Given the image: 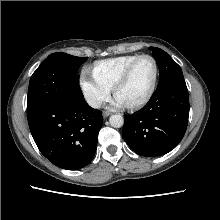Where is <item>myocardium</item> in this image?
I'll return each instance as SVG.
<instances>
[{
  "label": "myocardium",
  "mask_w": 220,
  "mask_h": 220,
  "mask_svg": "<svg viewBox=\"0 0 220 220\" xmlns=\"http://www.w3.org/2000/svg\"><path fill=\"white\" fill-rule=\"evenodd\" d=\"M144 58H148L150 59L153 64H154V69H155V73H154V79H153V83L152 86L149 90V92L147 93V95L140 101L131 104V105H126L128 108L130 109H139L141 107H143L144 105H146L153 97L156 88H157V84H158V79H159V65L158 62L156 61V59L149 55V54H142L139 55L135 60H133L128 67L125 69V71L123 72V74L118 78V80L116 81V83L113 86V93L116 96L117 91L128 81L134 67L136 66V64Z\"/></svg>",
  "instance_id": "1"
}]
</instances>
